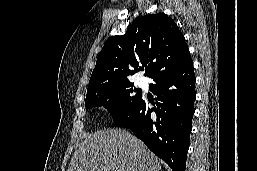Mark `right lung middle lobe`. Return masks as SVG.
<instances>
[{"instance_id":"right-lung-middle-lobe-1","label":"right lung middle lobe","mask_w":257,"mask_h":171,"mask_svg":"<svg viewBox=\"0 0 257 171\" xmlns=\"http://www.w3.org/2000/svg\"><path fill=\"white\" fill-rule=\"evenodd\" d=\"M131 82L88 91L85 99L87 109L105 107L113 119H117L131 110L141 98Z\"/></svg>"}]
</instances>
